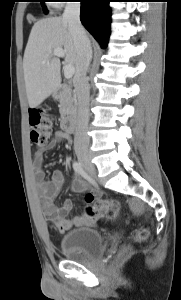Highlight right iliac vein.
Returning a JSON list of instances; mask_svg holds the SVG:
<instances>
[{"label":"right iliac vein","instance_id":"right-iliac-vein-1","mask_svg":"<svg viewBox=\"0 0 181 300\" xmlns=\"http://www.w3.org/2000/svg\"><path fill=\"white\" fill-rule=\"evenodd\" d=\"M77 158L89 174H91V175L95 174V167L90 160L89 153L77 152Z\"/></svg>","mask_w":181,"mask_h":300}]
</instances>
